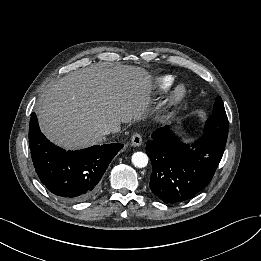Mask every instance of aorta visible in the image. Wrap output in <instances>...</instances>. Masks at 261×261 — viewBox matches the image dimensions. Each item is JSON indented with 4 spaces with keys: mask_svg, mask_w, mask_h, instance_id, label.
<instances>
[{
    "mask_svg": "<svg viewBox=\"0 0 261 261\" xmlns=\"http://www.w3.org/2000/svg\"><path fill=\"white\" fill-rule=\"evenodd\" d=\"M132 163L137 168L146 167L148 164V156L143 152H136L132 155Z\"/></svg>",
    "mask_w": 261,
    "mask_h": 261,
    "instance_id": "1",
    "label": "aorta"
}]
</instances>
